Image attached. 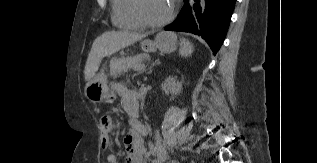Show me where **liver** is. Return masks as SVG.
<instances>
[{
    "label": "liver",
    "instance_id": "obj_1",
    "mask_svg": "<svg viewBox=\"0 0 317 163\" xmlns=\"http://www.w3.org/2000/svg\"><path fill=\"white\" fill-rule=\"evenodd\" d=\"M144 37L143 34L128 31H107L98 36L92 44L86 61L85 80L90 81L95 76L104 57L130 46Z\"/></svg>",
    "mask_w": 317,
    "mask_h": 163
}]
</instances>
